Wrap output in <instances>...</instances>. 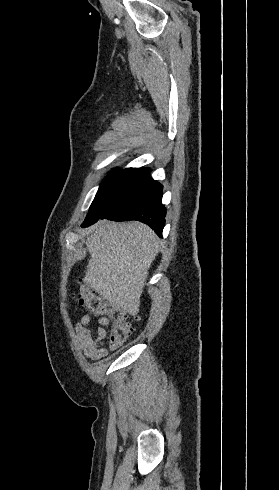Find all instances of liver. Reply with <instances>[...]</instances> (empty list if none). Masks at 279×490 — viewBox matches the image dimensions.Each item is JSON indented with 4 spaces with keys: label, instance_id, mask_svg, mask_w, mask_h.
Wrapping results in <instances>:
<instances>
[{
    "label": "liver",
    "instance_id": "liver-1",
    "mask_svg": "<svg viewBox=\"0 0 279 490\" xmlns=\"http://www.w3.org/2000/svg\"><path fill=\"white\" fill-rule=\"evenodd\" d=\"M89 232L93 236L85 244L91 258L83 282L109 304L137 316L148 270L158 254L155 232L141 222L108 220H100Z\"/></svg>",
    "mask_w": 279,
    "mask_h": 490
}]
</instances>
